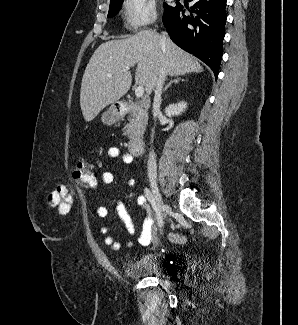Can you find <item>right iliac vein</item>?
<instances>
[{
  "mask_svg": "<svg viewBox=\"0 0 298 325\" xmlns=\"http://www.w3.org/2000/svg\"><path fill=\"white\" fill-rule=\"evenodd\" d=\"M150 186L152 191V197L155 201V204L157 208L160 210V212H163L165 210V206L155 179L153 178L150 179Z\"/></svg>",
  "mask_w": 298,
  "mask_h": 325,
  "instance_id": "obj_1",
  "label": "right iliac vein"
}]
</instances>
